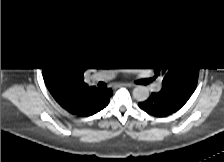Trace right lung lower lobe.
<instances>
[{
    "mask_svg": "<svg viewBox=\"0 0 224 162\" xmlns=\"http://www.w3.org/2000/svg\"><path fill=\"white\" fill-rule=\"evenodd\" d=\"M110 98V97H109ZM109 98L105 101V103L103 104V106L98 110V111H100V110H102L103 108H105L107 105H108V103H109ZM97 111V112H98Z\"/></svg>",
    "mask_w": 224,
    "mask_h": 162,
    "instance_id": "right-lung-lower-lobe-1",
    "label": "right lung lower lobe"
}]
</instances>
